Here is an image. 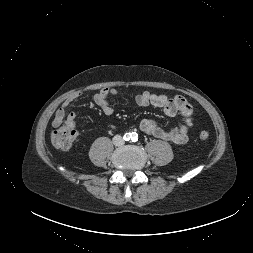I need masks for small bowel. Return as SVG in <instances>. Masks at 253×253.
<instances>
[{"label": "small bowel", "mask_w": 253, "mask_h": 253, "mask_svg": "<svg viewBox=\"0 0 253 253\" xmlns=\"http://www.w3.org/2000/svg\"><path fill=\"white\" fill-rule=\"evenodd\" d=\"M117 94L118 91L114 88H103L94 95L93 100L105 114L111 115L114 109L109 101V97ZM80 96L81 93H74L67 97L56 110L52 119L53 127H59L64 123L70 125L75 131V137L77 136L75 130L77 114L74 111L68 112L67 109ZM134 100L139 106H153L160 108L167 116L179 114L182 118L181 123L169 130L163 129L152 119H143L140 122V130L142 132L175 144H185L188 141L189 133L195 128V116L192 106L183 96H167L165 94L144 91L137 94ZM111 128H114V126H111Z\"/></svg>", "instance_id": "c3829d8e"}]
</instances>
